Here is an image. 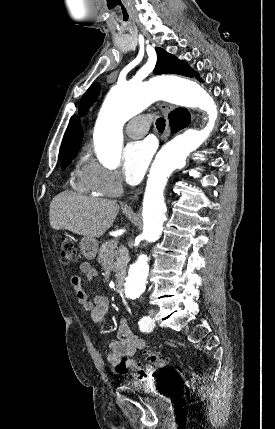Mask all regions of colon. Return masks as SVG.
<instances>
[{
	"label": "colon",
	"mask_w": 275,
	"mask_h": 429,
	"mask_svg": "<svg viewBox=\"0 0 275 429\" xmlns=\"http://www.w3.org/2000/svg\"><path fill=\"white\" fill-rule=\"evenodd\" d=\"M76 259V248L70 240H63L61 243V261L63 264H71ZM147 360L153 366L163 369L166 368L169 364L168 360L161 355L149 352L147 354ZM120 372H125V368L121 367ZM145 371L140 370L139 376H144ZM199 379V375L197 372H193L189 381V385L195 384Z\"/></svg>",
	"instance_id": "5ec220e1"
}]
</instances>
